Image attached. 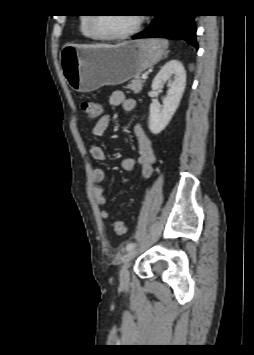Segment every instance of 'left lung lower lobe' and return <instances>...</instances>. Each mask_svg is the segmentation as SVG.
<instances>
[{
	"instance_id": "left-lung-lower-lobe-1",
	"label": "left lung lower lobe",
	"mask_w": 254,
	"mask_h": 355,
	"mask_svg": "<svg viewBox=\"0 0 254 355\" xmlns=\"http://www.w3.org/2000/svg\"><path fill=\"white\" fill-rule=\"evenodd\" d=\"M195 15H156L143 33L132 36L141 38H181L198 48Z\"/></svg>"
}]
</instances>
